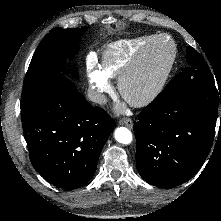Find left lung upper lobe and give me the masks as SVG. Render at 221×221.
Listing matches in <instances>:
<instances>
[{
  "label": "left lung upper lobe",
  "mask_w": 221,
  "mask_h": 221,
  "mask_svg": "<svg viewBox=\"0 0 221 221\" xmlns=\"http://www.w3.org/2000/svg\"><path fill=\"white\" fill-rule=\"evenodd\" d=\"M186 53L189 67L174 76L172 81L164 89H169L173 85L187 84L193 79L214 81L213 75L207 64L204 62L203 57L190 46L187 47Z\"/></svg>",
  "instance_id": "1"
}]
</instances>
